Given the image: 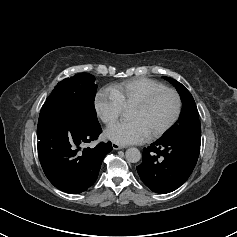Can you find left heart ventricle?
<instances>
[{
  "label": "left heart ventricle",
  "instance_id": "left-heart-ventricle-1",
  "mask_svg": "<svg viewBox=\"0 0 237 237\" xmlns=\"http://www.w3.org/2000/svg\"><path fill=\"white\" fill-rule=\"evenodd\" d=\"M176 100L170 93H163L146 109L132 106L130 120H138L149 135L165 125L174 115Z\"/></svg>",
  "mask_w": 237,
  "mask_h": 237
}]
</instances>
